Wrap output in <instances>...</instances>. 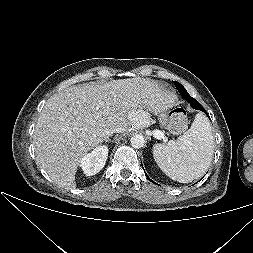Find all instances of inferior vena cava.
Instances as JSON below:
<instances>
[{
	"label": "inferior vena cava",
	"mask_w": 253,
	"mask_h": 253,
	"mask_svg": "<svg viewBox=\"0 0 253 253\" xmlns=\"http://www.w3.org/2000/svg\"><path fill=\"white\" fill-rule=\"evenodd\" d=\"M116 132L120 133L121 130H120L119 128H116V129H109V130H107V131L105 132V137H106V136H109V135H112L113 133H116Z\"/></svg>",
	"instance_id": "obj_1"
}]
</instances>
